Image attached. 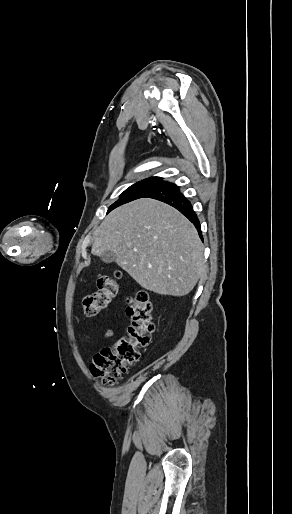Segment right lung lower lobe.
Here are the masks:
<instances>
[{"instance_id": "obj_1", "label": "right lung lower lobe", "mask_w": 292, "mask_h": 514, "mask_svg": "<svg viewBox=\"0 0 292 514\" xmlns=\"http://www.w3.org/2000/svg\"><path fill=\"white\" fill-rule=\"evenodd\" d=\"M142 198L157 199L179 210L195 225L200 238L203 239L200 223L192 205L175 184L163 181L149 190Z\"/></svg>"}]
</instances>
